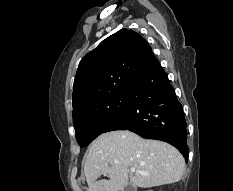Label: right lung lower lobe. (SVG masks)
I'll list each match as a JSON object with an SVG mask.
<instances>
[{
	"label": "right lung lower lobe",
	"mask_w": 233,
	"mask_h": 191,
	"mask_svg": "<svg viewBox=\"0 0 233 191\" xmlns=\"http://www.w3.org/2000/svg\"><path fill=\"white\" fill-rule=\"evenodd\" d=\"M127 95V109L103 133L129 130L143 138L162 140L176 147L187 161V129L183 109L167 74L154 55Z\"/></svg>",
	"instance_id": "98d812e1"
}]
</instances>
